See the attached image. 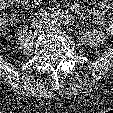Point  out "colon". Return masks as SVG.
<instances>
[{
	"label": "colon",
	"mask_w": 113,
	"mask_h": 113,
	"mask_svg": "<svg viewBox=\"0 0 113 113\" xmlns=\"http://www.w3.org/2000/svg\"><path fill=\"white\" fill-rule=\"evenodd\" d=\"M6 1H8V0H0V27L3 25L4 20H5V17L1 10H2V6H3L4 2H6ZM30 1H36V0H30Z\"/></svg>",
	"instance_id": "obj_1"
}]
</instances>
